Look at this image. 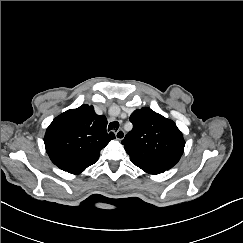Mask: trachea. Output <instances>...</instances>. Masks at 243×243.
Returning a JSON list of instances; mask_svg holds the SVG:
<instances>
[{
  "label": "trachea",
  "mask_w": 243,
  "mask_h": 243,
  "mask_svg": "<svg viewBox=\"0 0 243 243\" xmlns=\"http://www.w3.org/2000/svg\"><path fill=\"white\" fill-rule=\"evenodd\" d=\"M119 128V123L114 121V122H111L108 126V131L110 130H117Z\"/></svg>",
  "instance_id": "3493384b"
}]
</instances>
